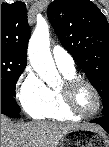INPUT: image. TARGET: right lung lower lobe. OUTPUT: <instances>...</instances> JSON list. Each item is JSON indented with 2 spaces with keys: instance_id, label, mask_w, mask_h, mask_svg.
<instances>
[{
  "instance_id": "98d812e1",
  "label": "right lung lower lobe",
  "mask_w": 109,
  "mask_h": 147,
  "mask_svg": "<svg viewBox=\"0 0 109 147\" xmlns=\"http://www.w3.org/2000/svg\"><path fill=\"white\" fill-rule=\"evenodd\" d=\"M1 114H4L6 116L12 117V118H20V112L13 111L9 106L1 102Z\"/></svg>"
}]
</instances>
